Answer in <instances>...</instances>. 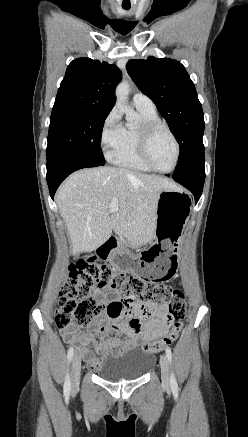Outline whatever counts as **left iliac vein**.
Wrapping results in <instances>:
<instances>
[{"label": "left iliac vein", "instance_id": "obj_1", "mask_svg": "<svg viewBox=\"0 0 248 437\" xmlns=\"http://www.w3.org/2000/svg\"><path fill=\"white\" fill-rule=\"evenodd\" d=\"M160 367H161L162 383L165 386H169V384H170V376H169L168 358L164 354L160 356Z\"/></svg>", "mask_w": 248, "mask_h": 437}]
</instances>
